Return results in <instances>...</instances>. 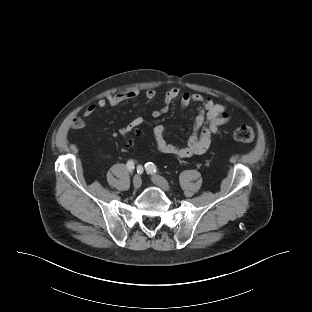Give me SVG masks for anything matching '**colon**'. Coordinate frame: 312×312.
<instances>
[{
    "label": "colon",
    "instance_id": "5ec220e1",
    "mask_svg": "<svg viewBox=\"0 0 312 312\" xmlns=\"http://www.w3.org/2000/svg\"><path fill=\"white\" fill-rule=\"evenodd\" d=\"M71 125L74 128H80L83 125V121L80 118H74ZM233 136L237 141L241 142H252L256 137L254 129L247 125L237 127L233 132ZM133 142L132 138L128 139L129 145H132Z\"/></svg>",
    "mask_w": 312,
    "mask_h": 312
}]
</instances>
